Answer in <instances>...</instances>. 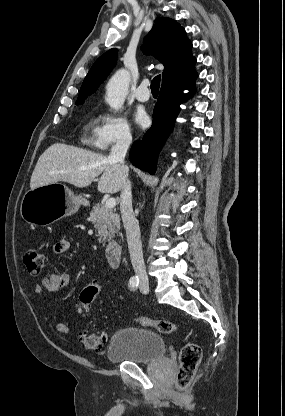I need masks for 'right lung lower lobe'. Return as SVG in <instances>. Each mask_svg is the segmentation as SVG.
Listing matches in <instances>:
<instances>
[{
	"instance_id": "1",
	"label": "right lung lower lobe",
	"mask_w": 285,
	"mask_h": 416,
	"mask_svg": "<svg viewBox=\"0 0 285 416\" xmlns=\"http://www.w3.org/2000/svg\"><path fill=\"white\" fill-rule=\"evenodd\" d=\"M196 71L161 86L160 95L153 111V124L141 141L133 144L130 160L133 165L154 174L158 153L171 133L184 100L183 90L194 92Z\"/></svg>"
}]
</instances>
